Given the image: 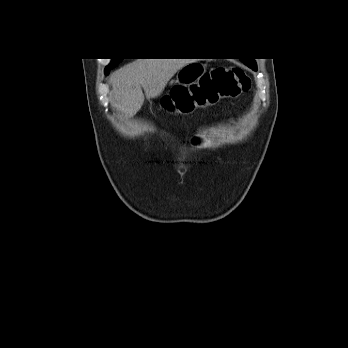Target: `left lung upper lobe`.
Listing matches in <instances>:
<instances>
[{
	"label": "left lung upper lobe",
	"mask_w": 348,
	"mask_h": 348,
	"mask_svg": "<svg viewBox=\"0 0 348 348\" xmlns=\"http://www.w3.org/2000/svg\"><path fill=\"white\" fill-rule=\"evenodd\" d=\"M242 62L246 64L248 67H250L251 69L255 71L257 70L256 63L253 59L242 60Z\"/></svg>",
	"instance_id": "1"
}]
</instances>
